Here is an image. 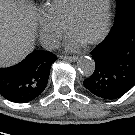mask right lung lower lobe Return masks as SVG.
<instances>
[{
    "label": "right lung lower lobe",
    "mask_w": 135,
    "mask_h": 135,
    "mask_svg": "<svg viewBox=\"0 0 135 135\" xmlns=\"http://www.w3.org/2000/svg\"><path fill=\"white\" fill-rule=\"evenodd\" d=\"M56 59L49 51L35 50L17 65L0 68V94L15 103L37 98L46 88L51 65Z\"/></svg>",
    "instance_id": "right-lung-lower-lobe-1"
}]
</instances>
